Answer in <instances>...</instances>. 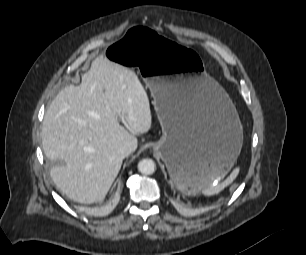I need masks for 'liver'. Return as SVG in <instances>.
<instances>
[{
  "instance_id": "liver-1",
  "label": "liver",
  "mask_w": 306,
  "mask_h": 255,
  "mask_svg": "<svg viewBox=\"0 0 306 255\" xmlns=\"http://www.w3.org/2000/svg\"><path fill=\"white\" fill-rule=\"evenodd\" d=\"M151 125L149 98L135 72L96 58L81 85L62 89L44 116V153L57 163L52 180L76 202H102L122 166L118 149L130 144L135 151L134 134L147 133Z\"/></svg>"
}]
</instances>
